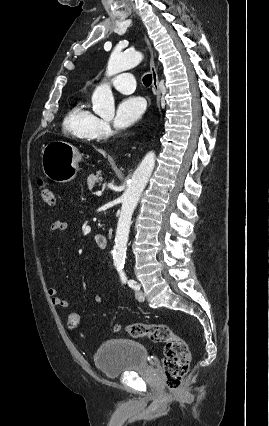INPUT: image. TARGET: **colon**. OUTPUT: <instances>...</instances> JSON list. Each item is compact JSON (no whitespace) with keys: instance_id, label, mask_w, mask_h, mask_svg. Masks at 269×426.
<instances>
[{"instance_id":"1","label":"colon","mask_w":269,"mask_h":426,"mask_svg":"<svg viewBox=\"0 0 269 426\" xmlns=\"http://www.w3.org/2000/svg\"><path fill=\"white\" fill-rule=\"evenodd\" d=\"M40 195L43 202L52 205L55 202L53 189L43 180L39 179ZM78 319L70 321L71 326H75ZM115 332H124L132 337H146L151 342L164 344L163 370L166 386L171 391L179 389L183 378L189 370L190 352L186 342L175 335L169 326L165 324H143L131 323L114 325Z\"/></svg>"}]
</instances>
